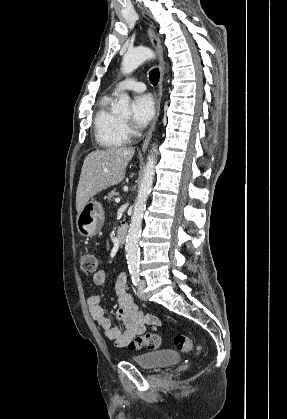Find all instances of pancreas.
<instances>
[{"label": "pancreas", "instance_id": "obj_1", "mask_svg": "<svg viewBox=\"0 0 287 419\" xmlns=\"http://www.w3.org/2000/svg\"><path fill=\"white\" fill-rule=\"evenodd\" d=\"M115 195H118V193H117V192H115V190H112V191L108 194V196L106 197V199H107L109 202H111V201H112V199H113V197H114Z\"/></svg>", "mask_w": 287, "mask_h": 419}]
</instances>
